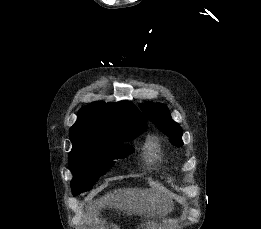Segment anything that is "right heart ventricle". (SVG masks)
Returning a JSON list of instances; mask_svg holds the SVG:
<instances>
[{
  "label": "right heart ventricle",
  "instance_id": "right-heart-ventricle-1",
  "mask_svg": "<svg viewBox=\"0 0 261 229\" xmlns=\"http://www.w3.org/2000/svg\"><path fill=\"white\" fill-rule=\"evenodd\" d=\"M143 150L146 157L152 161L159 159L162 154L161 143L155 137H150L145 141L143 145Z\"/></svg>",
  "mask_w": 261,
  "mask_h": 229
}]
</instances>
